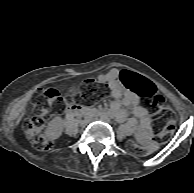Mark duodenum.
<instances>
[{
	"label": "duodenum",
	"instance_id": "410a0bca",
	"mask_svg": "<svg viewBox=\"0 0 194 193\" xmlns=\"http://www.w3.org/2000/svg\"><path fill=\"white\" fill-rule=\"evenodd\" d=\"M66 112L73 115H94L100 118L105 117V113L97 110H92L90 108L79 106V105H71L66 108Z\"/></svg>",
	"mask_w": 194,
	"mask_h": 193
}]
</instances>
